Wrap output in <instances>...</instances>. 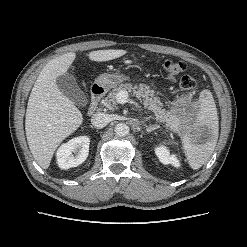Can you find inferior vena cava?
<instances>
[{"label":"inferior vena cava","mask_w":247,"mask_h":247,"mask_svg":"<svg viewBox=\"0 0 247 247\" xmlns=\"http://www.w3.org/2000/svg\"><path fill=\"white\" fill-rule=\"evenodd\" d=\"M109 123V116L105 113H96L91 118V124L96 128H103Z\"/></svg>","instance_id":"inferior-vena-cava-1"}]
</instances>
